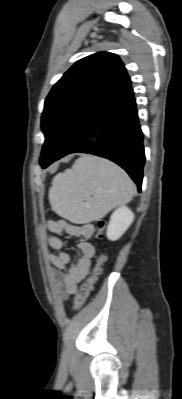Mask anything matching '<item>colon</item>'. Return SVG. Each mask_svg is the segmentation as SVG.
<instances>
[{
    "label": "colon",
    "instance_id": "1",
    "mask_svg": "<svg viewBox=\"0 0 182 399\" xmlns=\"http://www.w3.org/2000/svg\"><path fill=\"white\" fill-rule=\"evenodd\" d=\"M98 226V231L96 233V238L100 239L102 237V230H103V222L99 221L97 223ZM106 261V256L104 253H101L97 260H96V264L95 267L92 271V273L89 275V277L82 283V285L80 286V289L77 292L75 301H74V309H79L87 300L90 292L93 289V285L98 277V275L101 273L102 271V266Z\"/></svg>",
    "mask_w": 182,
    "mask_h": 399
}]
</instances>
